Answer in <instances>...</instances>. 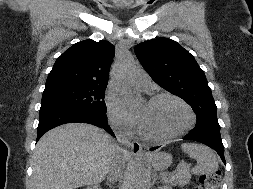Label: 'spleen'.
Wrapping results in <instances>:
<instances>
[{
	"mask_svg": "<svg viewBox=\"0 0 253 189\" xmlns=\"http://www.w3.org/2000/svg\"><path fill=\"white\" fill-rule=\"evenodd\" d=\"M181 148L189 157L197 161L196 166L191 169L193 174H210L218 170L217 156L208 146L196 143H183Z\"/></svg>",
	"mask_w": 253,
	"mask_h": 189,
	"instance_id": "obj_1",
	"label": "spleen"
}]
</instances>
